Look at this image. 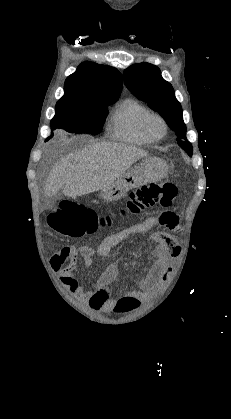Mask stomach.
Masks as SVG:
<instances>
[{"label":"stomach","mask_w":231,"mask_h":419,"mask_svg":"<svg viewBox=\"0 0 231 419\" xmlns=\"http://www.w3.org/2000/svg\"><path fill=\"white\" fill-rule=\"evenodd\" d=\"M167 172L168 165L163 159L144 157L138 165L121 175L113 184L102 189L100 198L107 202L119 200L133 188L164 179Z\"/></svg>","instance_id":"obj_1"}]
</instances>
